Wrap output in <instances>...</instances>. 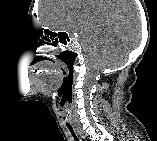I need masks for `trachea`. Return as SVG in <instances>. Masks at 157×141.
<instances>
[{
	"label": "trachea",
	"instance_id": "trachea-1",
	"mask_svg": "<svg viewBox=\"0 0 157 141\" xmlns=\"http://www.w3.org/2000/svg\"><path fill=\"white\" fill-rule=\"evenodd\" d=\"M68 129L70 130L71 135L73 136L74 140H75V141H79V139L77 138V136H76V134H75L73 128H72L71 126H68Z\"/></svg>",
	"mask_w": 157,
	"mask_h": 141
}]
</instances>
